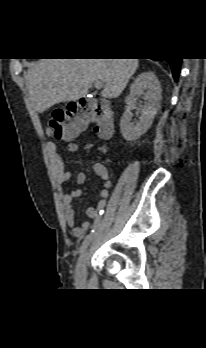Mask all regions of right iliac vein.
<instances>
[{"instance_id": "63e3f726", "label": "right iliac vein", "mask_w": 206, "mask_h": 348, "mask_svg": "<svg viewBox=\"0 0 206 348\" xmlns=\"http://www.w3.org/2000/svg\"><path fill=\"white\" fill-rule=\"evenodd\" d=\"M88 257H89V251L86 250L83 252L81 257L79 258L76 269H75V274H76V279L78 282H84L86 279V266L88 262Z\"/></svg>"}]
</instances>
